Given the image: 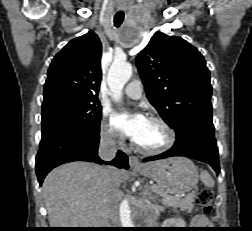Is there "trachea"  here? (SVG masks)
Wrapping results in <instances>:
<instances>
[{
  "instance_id": "obj_1",
  "label": "trachea",
  "mask_w": 252,
  "mask_h": 231,
  "mask_svg": "<svg viewBox=\"0 0 252 231\" xmlns=\"http://www.w3.org/2000/svg\"><path fill=\"white\" fill-rule=\"evenodd\" d=\"M123 20H124V13L122 12L116 13V15L114 16V25L116 27H119L122 24Z\"/></svg>"
}]
</instances>
